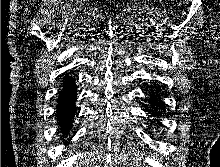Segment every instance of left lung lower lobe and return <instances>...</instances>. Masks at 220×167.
<instances>
[{
	"label": "left lung lower lobe",
	"mask_w": 220,
	"mask_h": 167,
	"mask_svg": "<svg viewBox=\"0 0 220 167\" xmlns=\"http://www.w3.org/2000/svg\"><path fill=\"white\" fill-rule=\"evenodd\" d=\"M156 94L154 93H150V102L151 104L154 106L153 109H152V115L154 116H159V113L157 112L158 111V101L156 100Z\"/></svg>",
	"instance_id": "1"
}]
</instances>
